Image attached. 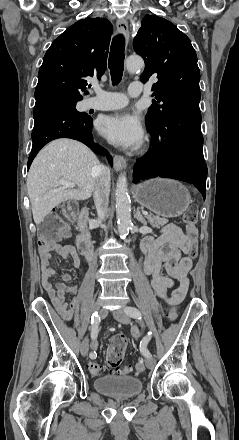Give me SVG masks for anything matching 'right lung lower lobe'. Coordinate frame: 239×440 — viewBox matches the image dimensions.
<instances>
[{
  "label": "right lung lower lobe",
  "instance_id": "right-lung-lower-lobe-1",
  "mask_svg": "<svg viewBox=\"0 0 239 440\" xmlns=\"http://www.w3.org/2000/svg\"><path fill=\"white\" fill-rule=\"evenodd\" d=\"M33 116V147L28 167L45 144L58 138L79 140L95 153L106 154V149L93 141L92 118L87 114H78L70 104L57 99L39 100L36 101ZM108 159L112 164V158L109 156Z\"/></svg>",
  "mask_w": 239,
  "mask_h": 440
}]
</instances>
